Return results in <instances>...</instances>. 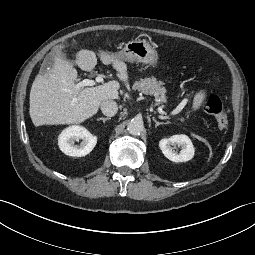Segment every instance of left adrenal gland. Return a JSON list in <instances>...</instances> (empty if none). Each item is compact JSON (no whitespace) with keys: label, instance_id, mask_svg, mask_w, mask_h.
<instances>
[{"label":"left adrenal gland","instance_id":"1","mask_svg":"<svg viewBox=\"0 0 255 255\" xmlns=\"http://www.w3.org/2000/svg\"><path fill=\"white\" fill-rule=\"evenodd\" d=\"M152 120L155 122V127H156V128H157L159 125L170 124L169 121H167V122H159V121H157V120L155 119V117H152Z\"/></svg>","mask_w":255,"mask_h":255}]
</instances>
